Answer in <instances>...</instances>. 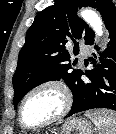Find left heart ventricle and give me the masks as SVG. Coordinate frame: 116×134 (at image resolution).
<instances>
[{"label":"left heart ventricle","mask_w":116,"mask_h":134,"mask_svg":"<svg viewBox=\"0 0 116 134\" xmlns=\"http://www.w3.org/2000/svg\"><path fill=\"white\" fill-rule=\"evenodd\" d=\"M61 107L62 97L57 90L42 89L33 93L25 102L23 118L27 124H39L55 116Z\"/></svg>","instance_id":"b2bd125f"}]
</instances>
